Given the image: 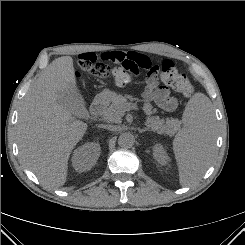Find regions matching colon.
I'll list each match as a JSON object with an SVG mask.
<instances>
[{
    "label": "colon",
    "instance_id": "5ec220e1",
    "mask_svg": "<svg viewBox=\"0 0 245 245\" xmlns=\"http://www.w3.org/2000/svg\"><path fill=\"white\" fill-rule=\"evenodd\" d=\"M78 63L89 74L98 78L112 77L118 85L127 84L131 77L137 75L140 71L138 63L131 58H124L119 63H115L114 66H110L92 52L81 54ZM148 76L149 79L154 80L160 78L164 84L184 96H190L193 93L191 81L183 73L179 72L169 59H164L150 67Z\"/></svg>",
    "mask_w": 245,
    "mask_h": 245
}]
</instances>
